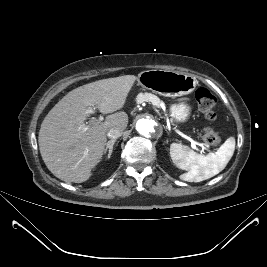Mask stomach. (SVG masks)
<instances>
[{
	"label": "stomach",
	"instance_id": "stomach-1",
	"mask_svg": "<svg viewBox=\"0 0 267 267\" xmlns=\"http://www.w3.org/2000/svg\"><path fill=\"white\" fill-rule=\"evenodd\" d=\"M138 83L143 88L166 97H180L193 92L197 79L189 74L167 70H148L139 74ZM191 114L187 103L178 102L170 106V116L176 123H185Z\"/></svg>",
	"mask_w": 267,
	"mask_h": 267
}]
</instances>
